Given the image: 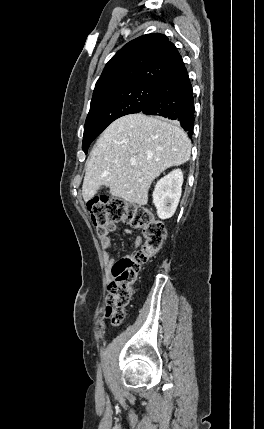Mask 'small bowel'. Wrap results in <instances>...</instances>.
Here are the masks:
<instances>
[{
	"mask_svg": "<svg viewBox=\"0 0 264 429\" xmlns=\"http://www.w3.org/2000/svg\"><path fill=\"white\" fill-rule=\"evenodd\" d=\"M116 229H117L116 223L109 222L103 228V231L101 233H98L101 246L104 250L103 259L108 265H112L114 262V260L110 256V253L108 252V250L112 246V239L109 234L116 231ZM141 243H142V238L140 236H137L134 240V245L138 247L141 245Z\"/></svg>",
	"mask_w": 264,
	"mask_h": 429,
	"instance_id": "obj_1",
	"label": "small bowel"
}]
</instances>
